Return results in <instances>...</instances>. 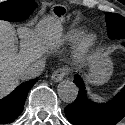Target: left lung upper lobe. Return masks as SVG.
Masks as SVG:
<instances>
[{
	"instance_id": "5c2ea615",
	"label": "left lung upper lobe",
	"mask_w": 125,
	"mask_h": 125,
	"mask_svg": "<svg viewBox=\"0 0 125 125\" xmlns=\"http://www.w3.org/2000/svg\"><path fill=\"white\" fill-rule=\"evenodd\" d=\"M107 33L110 39L125 38V18L116 13H106Z\"/></svg>"
}]
</instances>
